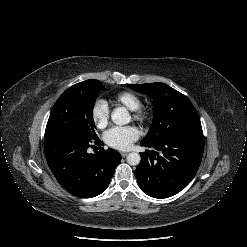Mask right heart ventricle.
<instances>
[{
    "label": "right heart ventricle",
    "instance_id": "e07e8e85",
    "mask_svg": "<svg viewBox=\"0 0 247 247\" xmlns=\"http://www.w3.org/2000/svg\"><path fill=\"white\" fill-rule=\"evenodd\" d=\"M113 101L117 104H121L130 110L136 109L141 106L140 97L131 91H122L116 94Z\"/></svg>",
    "mask_w": 247,
    "mask_h": 247
}]
</instances>
